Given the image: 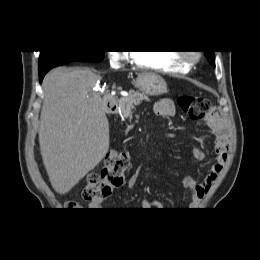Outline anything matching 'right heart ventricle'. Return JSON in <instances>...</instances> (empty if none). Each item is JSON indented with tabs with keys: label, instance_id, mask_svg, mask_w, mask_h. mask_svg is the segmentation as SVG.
Segmentation results:
<instances>
[{
	"label": "right heart ventricle",
	"instance_id": "right-heart-ventricle-1",
	"mask_svg": "<svg viewBox=\"0 0 260 260\" xmlns=\"http://www.w3.org/2000/svg\"><path fill=\"white\" fill-rule=\"evenodd\" d=\"M134 63L142 68H149L167 73H186L189 65L182 62L179 56L168 51H134Z\"/></svg>",
	"mask_w": 260,
	"mask_h": 260
}]
</instances>
